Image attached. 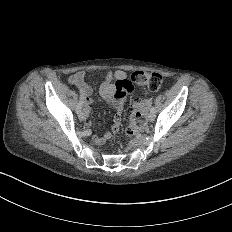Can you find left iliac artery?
I'll list each match as a JSON object with an SVG mask.
<instances>
[{
	"label": "left iliac artery",
	"mask_w": 232,
	"mask_h": 232,
	"mask_svg": "<svg viewBox=\"0 0 232 232\" xmlns=\"http://www.w3.org/2000/svg\"><path fill=\"white\" fill-rule=\"evenodd\" d=\"M151 113H156V108L154 106L151 108Z\"/></svg>",
	"instance_id": "obj_1"
}]
</instances>
